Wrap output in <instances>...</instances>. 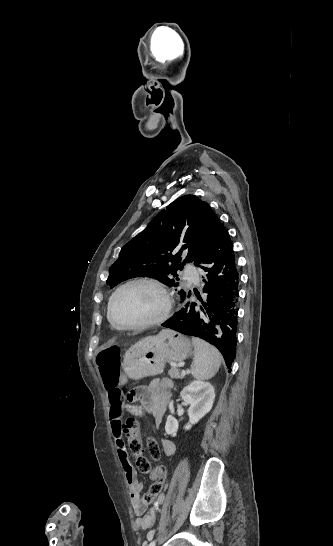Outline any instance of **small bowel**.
I'll return each instance as SVG.
<instances>
[{"label": "small bowel", "instance_id": "small-bowel-1", "mask_svg": "<svg viewBox=\"0 0 333 546\" xmlns=\"http://www.w3.org/2000/svg\"><path fill=\"white\" fill-rule=\"evenodd\" d=\"M128 371L122 370L119 376V386H127ZM173 382L171 379L163 378L152 381L148 386L140 387L137 391L138 398L144 404L145 410L150 413L155 422L159 425L164 417L167 406L172 396ZM110 424L112 435L115 439L118 458L123 468L126 482L128 484L131 503L136 514L135 525L138 528L149 529L153 526L156 516L159 512V504L156 501L152 507L147 508V504L141 498L142 483L138 479L137 473L130 463L126 445L123 439V405L120 402L113 403L110 399ZM163 450L166 455H173L176 451L174 442L170 439L162 440ZM149 478L155 480L156 476L150 474ZM152 536V533L149 532Z\"/></svg>", "mask_w": 333, "mask_h": 546}]
</instances>
